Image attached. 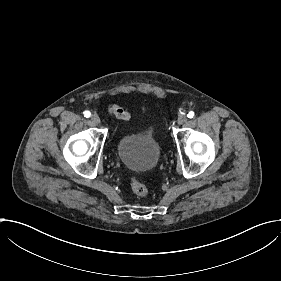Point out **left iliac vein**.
Here are the masks:
<instances>
[{"label": "left iliac vein", "mask_w": 281, "mask_h": 281, "mask_svg": "<svg viewBox=\"0 0 281 281\" xmlns=\"http://www.w3.org/2000/svg\"><path fill=\"white\" fill-rule=\"evenodd\" d=\"M178 123L179 124H185V123H187V121H188V118H187V116L185 115V114H182L179 118H178Z\"/></svg>", "instance_id": "1"}]
</instances>
